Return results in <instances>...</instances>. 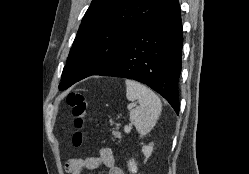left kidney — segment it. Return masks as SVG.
<instances>
[{
    "label": "left kidney",
    "instance_id": "1",
    "mask_svg": "<svg viewBox=\"0 0 249 174\" xmlns=\"http://www.w3.org/2000/svg\"><path fill=\"white\" fill-rule=\"evenodd\" d=\"M153 151V143H150L147 146L142 147V152L144 156L146 157L145 161L150 157L151 153ZM129 171L132 172V174L137 173V164L135 163L134 159H131L128 163Z\"/></svg>",
    "mask_w": 249,
    "mask_h": 174
}]
</instances>
